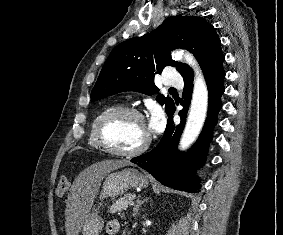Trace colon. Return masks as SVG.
I'll return each instance as SVG.
<instances>
[{"instance_id": "5ec220e1", "label": "colon", "mask_w": 283, "mask_h": 235, "mask_svg": "<svg viewBox=\"0 0 283 235\" xmlns=\"http://www.w3.org/2000/svg\"><path fill=\"white\" fill-rule=\"evenodd\" d=\"M69 187V181L68 179L63 176L59 179L58 185H57V190L56 193L58 196H62L66 193Z\"/></svg>"}]
</instances>
